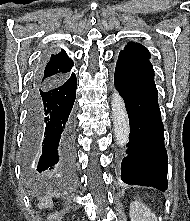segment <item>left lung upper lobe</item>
<instances>
[{
    "instance_id": "left-lung-upper-lobe-1",
    "label": "left lung upper lobe",
    "mask_w": 190,
    "mask_h": 221,
    "mask_svg": "<svg viewBox=\"0 0 190 221\" xmlns=\"http://www.w3.org/2000/svg\"><path fill=\"white\" fill-rule=\"evenodd\" d=\"M119 55H127L144 61H149L150 58L149 51L143 45L135 42L128 43Z\"/></svg>"
}]
</instances>
